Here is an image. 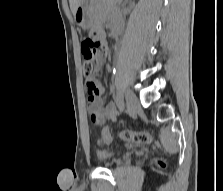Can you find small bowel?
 Masks as SVG:
<instances>
[{
  "label": "small bowel",
  "instance_id": "obj_1",
  "mask_svg": "<svg viewBox=\"0 0 223 191\" xmlns=\"http://www.w3.org/2000/svg\"><path fill=\"white\" fill-rule=\"evenodd\" d=\"M122 24L120 22L116 23L115 31L121 32ZM94 36L98 39L101 45L104 47V51L107 50L105 43L104 31L101 26H98L93 31ZM104 64V59L99 56L96 61V68L100 69ZM92 81L95 84V88L91 89L88 83ZM104 91L102 82L91 79L87 80V110L91 116L92 121L100 125L106 120L116 121L118 117V111L113 103H105L101 95Z\"/></svg>",
  "mask_w": 223,
  "mask_h": 191
}]
</instances>
